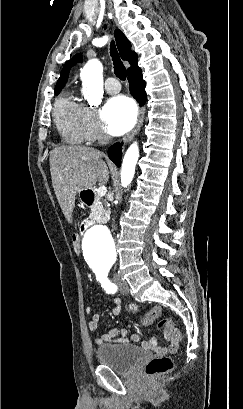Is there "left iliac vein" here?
Returning a JSON list of instances; mask_svg holds the SVG:
<instances>
[{
    "label": "left iliac vein",
    "instance_id": "left-iliac-vein-1",
    "mask_svg": "<svg viewBox=\"0 0 243 409\" xmlns=\"http://www.w3.org/2000/svg\"><path fill=\"white\" fill-rule=\"evenodd\" d=\"M114 282L123 294H128L129 287L124 279H122L119 275H115Z\"/></svg>",
    "mask_w": 243,
    "mask_h": 409
}]
</instances>
